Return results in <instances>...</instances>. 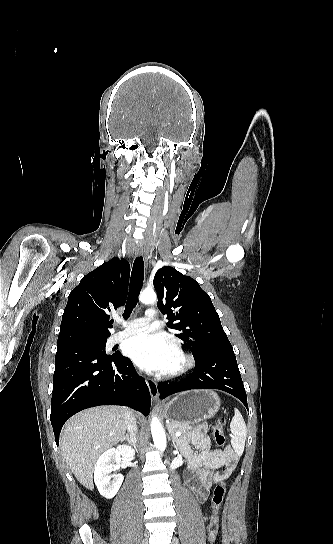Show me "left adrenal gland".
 <instances>
[{
  "label": "left adrenal gland",
  "instance_id": "1",
  "mask_svg": "<svg viewBox=\"0 0 333 544\" xmlns=\"http://www.w3.org/2000/svg\"><path fill=\"white\" fill-rule=\"evenodd\" d=\"M171 437H172L173 445L175 446L176 437H175L174 434H172V433H171Z\"/></svg>",
  "mask_w": 333,
  "mask_h": 544
}]
</instances>
